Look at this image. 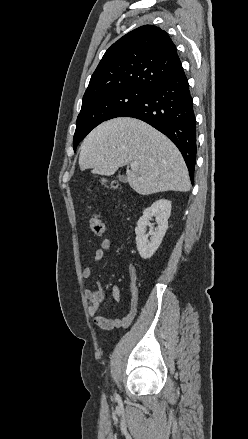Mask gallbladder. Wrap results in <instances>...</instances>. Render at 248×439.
I'll return each mask as SVG.
<instances>
[{"instance_id":"1","label":"gallbladder","mask_w":248,"mask_h":439,"mask_svg":"<svg viewBox=\"0 0 248 439\" xmlns=\"http://www.w3.org/2000/svg\"><path fill=\"white\" fill-rule=\"evenodd\" d=\"M119 179H120L122 182H126V178H125V176H123V175H119Z\"/></svg>"}]
</instances>
